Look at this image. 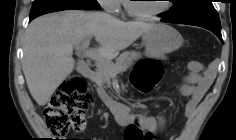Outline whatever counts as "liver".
<instances>
[{
  "instance_id": "liver-1",
  "label": "liver",
  "mask_w": 236,
  "mask_h": 140,
  "mask_svg": "<svg viewBox=\"0 0 236 140\" xmlns=\"http://www.w3.org/2000/svg\"><path fill=\"white\" fill-rule=\"evenodd\" d=\"M155 23L121 21L103 12L68 10L34 19L23 42L22 69L30 94L44 106L75 67L73 46L95 37L97 51L115 58Z\"/></svg>"
}]
</instances>
